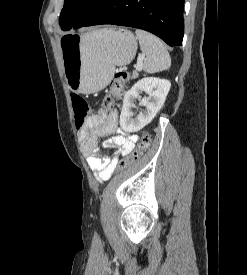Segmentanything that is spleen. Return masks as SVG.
<instances>
[{
	"label": "spleen",
	"instance_id": "1",
	"mask_svg": "<svg viewBox=\"0 0 247 275\" xmlns=\"http://www.w3.org/2000/svg\"><path fill=\"white\" fill-rule=\"evenodd\" d=\"M140 49L146 55L143 69L146 73H156L167 70L171 66V58L165 44L155 35L137 29Z\"/></svg>",
	"mask_w": 247,
	"mask_h": 275
}]
</instances>
